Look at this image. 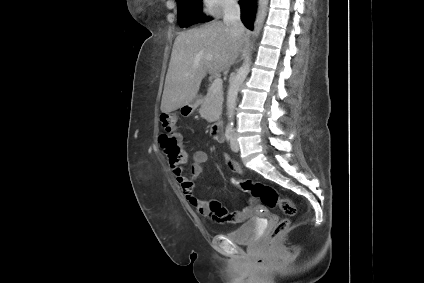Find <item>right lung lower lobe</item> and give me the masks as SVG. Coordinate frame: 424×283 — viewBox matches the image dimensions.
<instances>
[{
    "label": "right lung lower lobe",
    "mask_w": 424,
    "mask_h": 283,
    "mask_svg": "<svg viewBox=\"0 0 424 283\" xmlns=\"http://www.w3.org/2000/svg\"><path fill=\"white\" fill-rule=\"evenodd\" d=\"M241 20L243 24L250 30L253 29V21L255 18V6L253 0H241Z\"/></svg>",
    "instance_id": "obj_1"
}]
</instances>
